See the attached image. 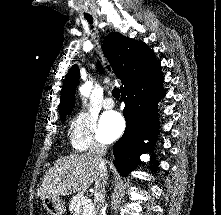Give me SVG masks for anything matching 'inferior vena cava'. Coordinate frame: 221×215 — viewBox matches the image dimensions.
<instances>
[{"label": "inferior vena cava", "instance_id": "inferior-vena-cava-1", "mask_svg": "<svg viewBox=\"0 0 221 215\" xmlns=\"http://www.w3.org/2000/svg\"><path fill=\"white\" fill-rule=\"evenodd\" d=\"M107 152V145L95 141L92 143L89 154L93 155L99 161V174L95 181V197L99 202L104 201L105 196V185L107 180L106 174V160L103 159V156Z\"/></svg>", "mask_w": 221, "mask_h": 215}]
</instances>
